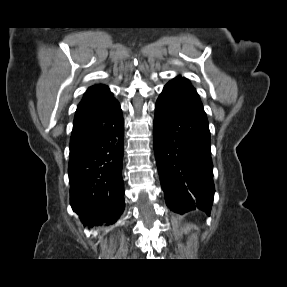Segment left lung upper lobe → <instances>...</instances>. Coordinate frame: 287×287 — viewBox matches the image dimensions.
Instances as JSON below:
<instances>
[{
	"label": "left lung upper lobe",
	"instance_id": "5c2ea615",
	"mask_svg": "<svg viewBox=\"0 0 287 287\" xmlns=\"http://www.w3.org/2000/svg\"><path fill=\"white\" fill-rule=\"evenodd\" d=\"M168 84L173 85L179 90L183 96L195 107L204 112L203 105L200 101L199 95L197 94L191 83L184 77L177 76L171 80ZM205 113V112H204Z\"/></svg>",
	"mask_w": 287,
	"mask_h": 287
}]
</instances>
